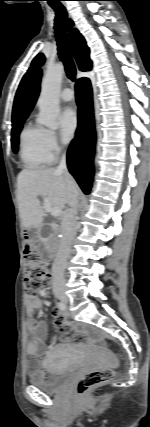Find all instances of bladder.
<instances>
[{
    "label": "bladder",
    "instance_id": "bladder-1",
    "mask_svg": "<svg viewBox=\"0 0 150 427\" xmlns=\"http://www.w3.org/2000/svg\"><path fill=\"white\" fill-rule=\"evenodd\" d=\"M75 368L73 366L56 367L47 365L45 376L41 380H32L31 383L47 394H54L61 391L70 380Z\"/></svg>",
    "mask_w": 150,
    "mask_h": 427
}]
</instances>
